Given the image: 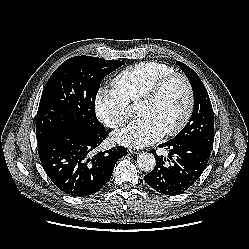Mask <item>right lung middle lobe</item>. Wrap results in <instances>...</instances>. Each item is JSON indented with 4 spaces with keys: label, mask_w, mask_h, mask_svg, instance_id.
<instances>
[{
    "label": "right lung middle lobe",
    "mask_w": 249,
    "mask_h": 249,
    "mask_svg": "<svg viewBox=\"0 0 249 249\" xmlns=\"http://www.w3.org/2000/svg\"><path fill=\"white\" fill-rule=\"evenodd\" d=\"M119 60L75 56L63 62L47 81L37 112L36 138L41 142L62 130H105L95 115L102 79L122 66Z\"/></svg>",
    "instance_id": "obj_1"
}]
</instances>
